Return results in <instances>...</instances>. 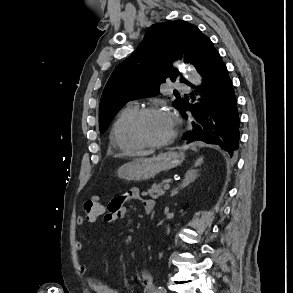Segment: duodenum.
<instances>
[{"label": "duodenum", "instance_id": "duodenum-1", "mask_svg": "<svg viewBox=\"0 0 293 293\" xmlns=\"http://www.w3.org/2000/svg\"><path fill=\"white\" fill-rule=\"evenodd\" d=\"M150 213H151V211H150V210H148V211H147V214H150Z\"/></svg>", "mask_w": 293, "mask_h": 293}]
</instances>
